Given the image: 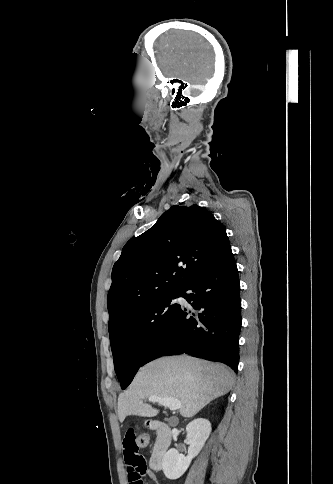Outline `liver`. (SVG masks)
Returning a JSON list of instances; mask_svg holds the SVG:
<instances>
[{
	"label": "liver",
	"mask_w": 333,
	"mask_h": 484,
	"mask_svg": "<svg viewBox=\"0 0 333 484\" xmlns=\"http://www.w3.org/2000/svg\"><path fill=\"white\" fill-rule=\"evenodd\" d=\"M234 374L222 364L190 356L166 357L152 361L138 371L129 388L118 397V417H154L159 410L141 403L153 395L178 399L182 417L196 415L210 401L227 394Z\"/></svg>",
	"instance_id": "1"
}]
</instances>
